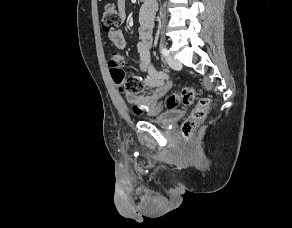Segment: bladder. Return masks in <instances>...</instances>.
I'll return each mask as SVG.
<instances>
[{"instance_id":"obj_1","label":"bladder","mask_w":292,"mask_h":228,"mask_svg":"<svg viewBox=\"0 0 292 228\" xmlns=\"http://www.w3.org/2000/svg\"><path fill=\"white\" fill-rule=\"evenodd\" d=\"M183 115V111L180 109H173L163 112L160 115L154 117L145 118L146 121L157 124L162 127H168L171 123L179 119Z\"/></svg>"}]
</instances>
